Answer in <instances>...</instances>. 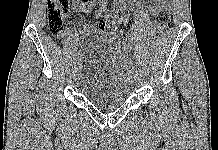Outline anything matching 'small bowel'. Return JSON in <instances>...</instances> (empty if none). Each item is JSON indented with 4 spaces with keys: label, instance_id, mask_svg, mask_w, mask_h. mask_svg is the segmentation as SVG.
Returning <instances> with one entry per match:
<instances>
[{
    "label": "small bowel",
    "instance_id": "small-bowel-1",
    "mask_svg": "<svg viewBox=\"0 0 218 150\" xmlns=\"http://www.w3.org/2000/svg\"><path fill=\"white\" fill-rule=\"evenodd\" d=\"M151 4L148 7V13L150 15H155L159 10H161L164 7H167L170 5L171 0H151ZM113 3L115 5V10L118 15L121 17L122 22H126L128 20V13H127V4L126 0H113ZM73 7L76 10H82L85 13H89L94 5L93 0H72ZM107 3H104L100 10L97 12L96 16H100L101 14L105 13L107 11ZM97 26L92 24H86L81 32H90L96 29ZM77 33L74 35L75 38L79 36L81 33ZM66 35H61V37H65Z\"/></svg>",
    "mask_w": 218,
    "mask_h": 150
}]
</instances>
